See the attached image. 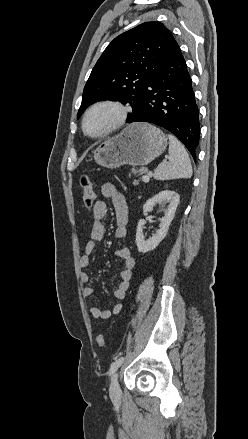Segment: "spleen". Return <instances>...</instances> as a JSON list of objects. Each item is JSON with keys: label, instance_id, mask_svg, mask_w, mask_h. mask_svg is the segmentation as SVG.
<instances>
[{"label": "spleen", "instance_id": "1", "mask_svg": "<svg viewBox=\"0 0 248 439\" xmlns=\"http://www.w3.org/2000/svg\"><path fill=\"white\" fill-rule=\"evenodd\" d=\"M169 138V161L158 165L154 172L157 180H171L179 178H191L192 166L188 153L182 143L173 135Z\"/></svg>", "mask_w": 248, "mask_h": 439}]
</instances>
